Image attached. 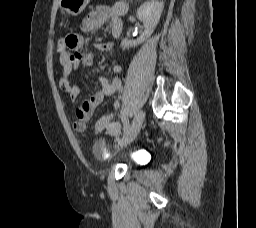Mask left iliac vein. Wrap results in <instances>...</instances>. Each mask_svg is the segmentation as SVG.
Segmentation results:
<instances>
[{"label":"left iliac vein","mask_w":256,"mask_h":228,"mask_svg":"<svg viewBox=\"0 0 256 228\" xmlns=\"http://www.w3.org/2000/svg\"><path fill=\"white\" fill-rule=\"evenodd\" d=\"M144 117H145V114H144L143 110L139 111L136 114V116L134 117V119L132 121L131 126L124 133L123 137L119 141L120 146H126L136 138V136L138 135V133L141 130V127H142V124L144 121Z\"/></svg>","instance_id":"obj_1"}]
</instances>
